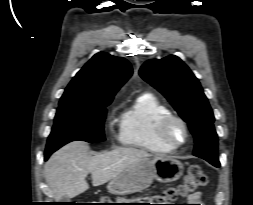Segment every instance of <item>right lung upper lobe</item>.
Segmentation results:
<instances>
[{"instance_id": "obj_1", "label": "right lung upper lobe", "mask_w": 253, "mask_h": 205, "mask_svg": "<svg viewBox=\"0 0 253 205\" xmlns=\"http://www.w3.org/2000/svg\"><path fill=\"white\" fill-rule=\"evenodd\" d=\"M131 75L126 59L99 52L72 79L59 104H95L113 99Z\"/></svg>"}]
</instances>
